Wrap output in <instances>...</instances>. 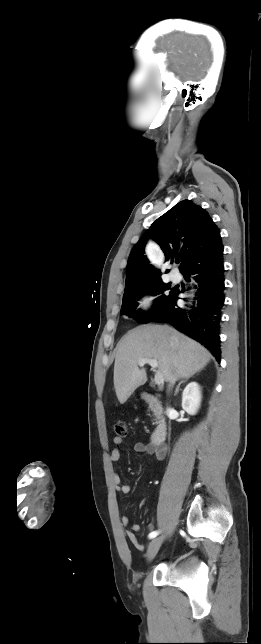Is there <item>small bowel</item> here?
<instances>
[{"mask_svg":"<svg viewBox=\"0 0 261 644\" xmlns=\"http://www.w3.org/2000/svg\"><path fill=\"white\" fill-rule=\"evenodd\" d=\"M122 438L115 437L114 438V444L115 448L111 451L110 453V459L113 462L119 461L121 454H120V449L119 447L122 445ZM134 451L138 454H141L143 456H149V455H155L158 460H162L165 457L166 454V449L163 446H156L153 444H145L142 442H137L134 444L133 447ZM113 481L116 487V490L121 492L122 494L128 495L131 492V486L127 483H124L120 477V475L115 472L113 474ZM146 504V500L142 501L140 506H144ZM121 524L125 527L129 526V518L127 516H122L121 517ZM150 530L153 529V524L149 525ZM140 530V526L138 524H132L129 526V528L126 530L125 535L127 539L134 545V547L142 551L144 550V546L138 541L136 533Z\"/></svg>","mask_w":261,"mask_h":644,"instance_id":"1","label":"small bowel"}]
</instances>
